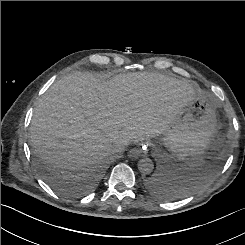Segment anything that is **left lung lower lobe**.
I'll list each match as a JSON object with an SVG mask.
<instances>
[{
    "label": "left lung lower lobe",
    "mask_w": 245,
    "mask_h": 245,
    "mask_svg": "<svg viewBox=\"0 0 245 245\" xmlns=\"http://www.w3.org/2000/svg\"><path fill=\"white\" fill-rule=\"evenodd\" d=\"M172 176L165 172L160 176L154 175L149 177L145 181V187L153 195L158 197H172L175 195H180L183 186L179 181H172Z\"/></svg>",
    "instance_id": "left-lung-lower-lobe-1"
}]
</instances>
